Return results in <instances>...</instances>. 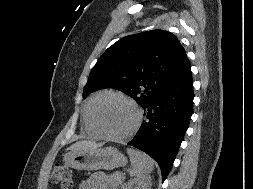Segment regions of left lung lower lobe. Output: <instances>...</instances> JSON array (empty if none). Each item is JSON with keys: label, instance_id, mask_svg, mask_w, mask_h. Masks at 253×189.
I'll use <instances>...</instances> for the list:
<instances>
[{"label": "left lung lower lobe", "instance_id": "1", "mask_svg": "<svg viewBox=\"0 0 253 189\" xmlns=\"http://www.w3.org/2000/svg\"><path fill=\"white\" fill-rule=\"evenodd\" d=\"M192 75L186 59L179 72L143 106L145 122L128 143L153 159L164 181L193 114Z\"/></svg>", "mask_w": 253, "mask_h": 189}]
</instances>
